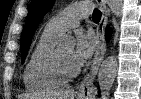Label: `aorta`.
Wrapping results in <instances>:
<instances>
[{
  "label": "aorta",
  "mask_w": 141,
  "mask_h": 99,
  "mask_svg": "<svg viewBox=\"0 0 141 99\" xmlns=\"http://www.w3.org/2000/svg\"><path fill=\"white\" fill-rule=\"evenodd\" d=\"M107 4L111 12L116 17H121L123 1L122 0H107ZM73 39L71 37H66L64 39L65 45H71ZM118 61L117 57L110 55L104 59L102 62L99 72H98V83L101 94V99H108L110 96V91L113 86L116 73H117Z\"/></svg>",
  "instance_id": "aorta-1"
}]
</instances>
